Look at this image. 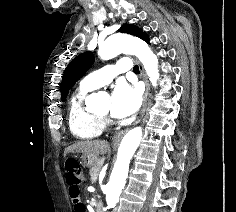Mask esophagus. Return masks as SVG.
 I'll use <instances>...</instances> for the list:
<instances>
[{
    "label": "esophagus",
    "mask_w": 236,
    "mask_h": 212,
    "mask_svg": "<svg viewBox=\"0 0 236 212\" xmlns=\"http://www.w3.org/2000/svg\"><path fill=\"white\" fill-rule=\"evenodd\" d=\"M139 69H140V72H141V77H142V79L145 83V94H144V101H143V106H142L140 115L137 118V120L134 122V125L139 123L140 120L142 119L143 115L145 114V111H146V108H147V103H148V94H149V83L147 81L146 74H145L144 69H143L141 64H139ZM127 131H128V128L125 129V130L117 132L113 136V139H112L113 143L116 144V143L120 142V140L123 138V136L126 134Z\"/></svg>",
    "instance_id": "34e87169"
}]
</instances>
